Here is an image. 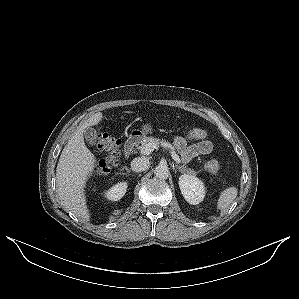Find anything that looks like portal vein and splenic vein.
<instances>
[{"mask_svg":"<svg viewBox=\"0 0 299 299\" xmlns=\"http://www.w3.org/2000/svg\"><path fill=\"white\" fill-rule=\"evenodd\" d=\"M154 149H157V146L152 143H148L141 149V153L144 155H149ZM171 156L176 163L179 164L181 162L179 156L174 151H171Z\"/></svg>","mask_w":299,"mask_h":299,"instance_id":"obj_1","label":"portal vein and splenic vein"}]
</instances>
